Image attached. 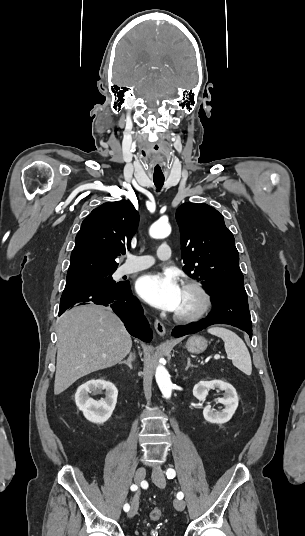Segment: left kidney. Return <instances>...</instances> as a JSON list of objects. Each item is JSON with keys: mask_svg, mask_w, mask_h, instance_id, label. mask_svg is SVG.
I'll return each instance as SVG.
<instances>
[{"mask_svg": "<svg viewBox=\"0 0 305 536\" xmlns=\"http://www.w3.org/2000/svg\"><path fill=\"white\" fill-rule=\"evenodd\" d=\"M211 388H219V390H224V398H219L217 402L225 406L224 410L217 412V410H212L211 406H205L203 410V416L207 422L211 424H225L231 420L235 410L238 408L239 398L237 392L231 384L227 382H222V380H212V382H198L193 388V396L199 400V402H205L206 396H208V390Z\"/></svg>", "mask_w": 305, "mask_h": 536, "instance_id": "1", "label": "left kidney"}]
</instances>
